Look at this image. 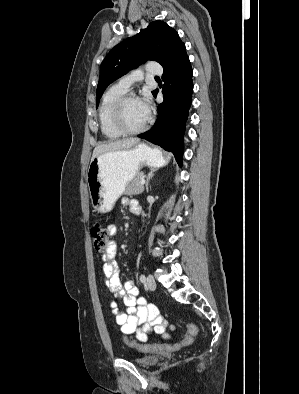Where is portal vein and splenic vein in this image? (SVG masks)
I'll use <instances>...</instances> for the list:
<instances>
[{"mask_svg":"<svg viewBox=\"0 0 299 394\" xmlns=\"http://www.w3.org/2000/svg\"><path fill=\"white\" fill-rule=\"evenodd\" d=\"M140 184H141V185H144V184H145V180L142 179L141 182H140Z\"/></svg>","mask_w":299,"mask_h":394,"instance_id":"portal-vein-and-splenic-vein-1","label":"portal vein and splenic vein"}]
</instances>
